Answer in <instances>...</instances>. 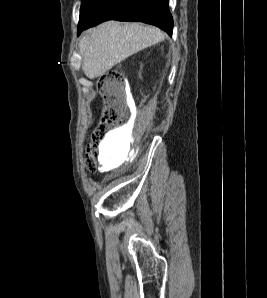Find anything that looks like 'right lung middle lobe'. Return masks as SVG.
I'll use <instances>...</instances> for the list:
<instances>
[{
	"label": "right lung middle lobe",
	"instance_id": "dd1d6c3e",
	"mask_svg": "<svg viewBox=\"0 0 267 298\" xmlns=\"http://www.w3.org/2000/svg\"><path fill=\"white\" fill-rule=\"evenodd\" d=\"M105 0H82L79 24L86 22Z\"/></svg>",
	"mask_w": 267,
	"mask_h": 298
}]
</instances>
